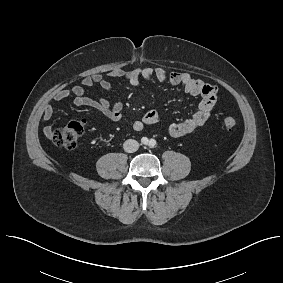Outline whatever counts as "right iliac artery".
<instances>
[{"label":"right iliac artery","mask_w":283,"mask_h":283,"mask_svg":"<svg viewBox=\"0 0 283 283\" xmlns=\"http://www.w3.org/2000/svg\"><path fill=\"white\" fill-rule=\"evenodd\" d=\"M148 142H149V140H148V138L147 137H142V139H141V143L142 144H148Z\"/></svg>","instance_id":"1"}]
</instances>
